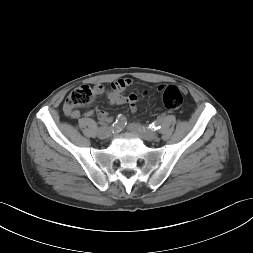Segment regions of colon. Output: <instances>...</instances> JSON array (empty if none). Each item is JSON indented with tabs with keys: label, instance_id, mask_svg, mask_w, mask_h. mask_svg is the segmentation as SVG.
I'll return each instance as SVG.
<instances>
[{
	"label": "colon",
	"instance_id": "obj_1",
	"mask_svg": "<svg viewBox=\"0 0 253 253\" xmlns=\"http://www.w3.org/2000/svg\"><path fill=\"white\" fill-rule=\"evenodd\" d=\"M162 102L169 111L179 109L183 103L182 91L173 85L162 87ZM94 100V91L89 86H81L73 90L66 99L65 106L69 109L89 106Z\"/></svg>",
	"mask_w": 253,
	"mask_h": 253
}]
</instances>
